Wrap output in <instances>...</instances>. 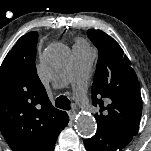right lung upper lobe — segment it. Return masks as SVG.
Segmentation results:
<instances>
[{"mask_svg":"<svg viewBox=\"0 0 151 151\" xmlns=\"http://www.w3.org/2000/svg\"><path fill=\"white\" fill-rule=\"evenodd\" d=\"M38 33L22 36L0 67V130L13 151H54L67 125L36 72Z\"/></svg>","mask_w":151,"mask_h":151,"instance_id":"1","label":"right lung upper lobe"}]
</instances>
